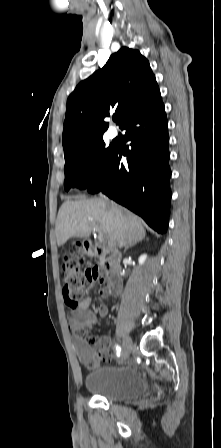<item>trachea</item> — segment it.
I'll return each mask as SVG.
<instances>
[{
  "mask_svg": "<svg viewBox=\"0 0 221 448\" xmlns=\"http://www.w3.org/2000/svg\"><path fill=\"white\" fill-rule=\"evenodd\" d=\"M116 119H117V116H113V121H116Z\"/></svg>",
  "mask_w": 221,
  "mask_h": 448,
  "instance_id": "trachea-1",
  "label": "trachea"
}]
</instances>
